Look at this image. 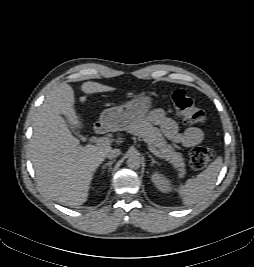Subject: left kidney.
I'll use <instances>...</instances> for the list:
<instances>
[{
	"instance_id": "obj_1",
	"label": "left kidney",
	"mask_w": 254,
	"mask_h": 267,
	"mask_svg": "<svg viewBox=\"0 0 254 267\" xmlns=\"http://www.w3.org/2000/svg\"><path fill=\"white\" fill-rule=\"evenodd\" d=\"M152 182L161 192L167 193L172 190L169 179L159 172H154L152 175Z\"/></svg>"
}]
</instances>
